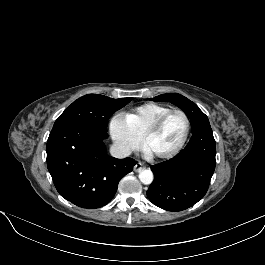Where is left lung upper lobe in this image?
Segmentation results:
<instances>
[{"mask_svg": "<svg viewBox=\"0 0 265 265\" xmlns=\"http://www.w3.org/2000/svg\"><path fill=\"white\" fill-rule=\"evenodd\" d=\"M153 101H169L181 108L189 117L192 125V131L199 129L202 126L210 125L208 117L199 109V107L186 97L177 93H168L156 96Z\"/></svg>", "mask_w": 265, "mask_h": 265, "instance_id": "left-lung-upper-lobe-1", "label": "left lung upper lobe"}]
</instances>
